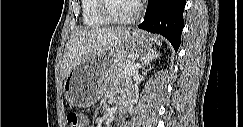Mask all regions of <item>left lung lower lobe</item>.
<instances>
[{"mask_svg":"<svg viewBox=\"0 0 243 127\" xmlns=\"http://www.w3.org/2000/svg\"><path fill=\"white\" fill-rule=\"evenodd\" d=\"M186 0H150L144 21L138 28L158 33L169 40L178 51L183 28Z\"/></svg>","mask_w":243,"mask_h":127,"instance_id":"1","label":"left lung lower lobe"}]
</instances>
